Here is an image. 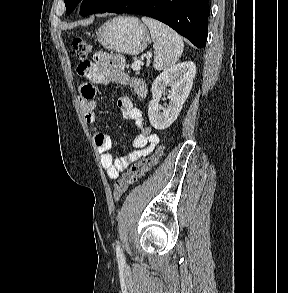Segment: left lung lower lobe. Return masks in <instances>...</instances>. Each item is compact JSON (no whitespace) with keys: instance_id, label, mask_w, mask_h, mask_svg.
Returning <instances> with one entry per match:
<instances>
[{"instance_id":"obj_1","label":"left lung lower lobe","mask_w":288,"mask_h":293,"mask_svg":"<svg viewBox=\"0 0 288 293\" xmlns=\"http://www.w3.org/2000/svg\"><path fill=\"white\" fill-rule=\"evenodd\" d=\"M209 0H119L100 13H132L157 19L196 47L206 45Z\"/></svg>"}]
</instances>
